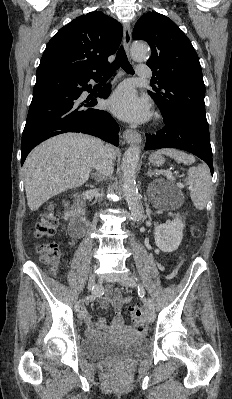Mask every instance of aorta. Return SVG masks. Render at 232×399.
Here are the masks:
<instances>
[{
    "label": "aorta",
    "instance_id": "762f6f07",
    "mask_svg": "<svg viewBox=\"0 0 232 399\" xmlns=\"http://www.w3.org/2000/svg\"><path fill=\"white\" fill-rule=\"evenodd\" d=\"M149 47L145 43H134L130 53L134 60L142 61L148 56ZM140 158V148L136 145L129 147L124 153L122 162V191L128 203L131 219L137 221L142 217L143 207L140 204V194L136 186V173Z\"/></svg>",
    "mask_w": 232,
    "mask_h": 399
}]
</instances>
